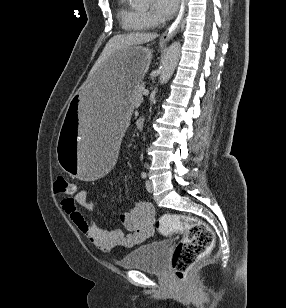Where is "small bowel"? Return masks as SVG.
<instances>
[{
  "label": "small bowel",
  "instance_id": "1",
  "mask_svg": "<svg viewBox=\"0 0 286 308\" xmlns=\"http://www.w3.org/2000/svg\"><path fill=\"white\" fill-rule=\"evenodd\" d=\"M91 194V190H79L74 196L64 198L61 205L85 238L98 249H128L152 234L154 208L150 203L134 201L126 211L120 213L119 220L128 232L125 234L120 228H99L81 213L79 207L91 210Z\"/></svg>",
  "mask_w": 286,
  "mask_h": 308
}]
</instances>
